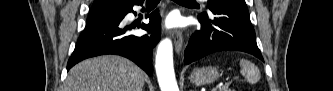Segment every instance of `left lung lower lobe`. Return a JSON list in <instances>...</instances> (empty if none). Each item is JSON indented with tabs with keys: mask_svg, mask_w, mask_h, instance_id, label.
<instances>
[{
	"mask_svg": "<svg viewBox=\"0 0 333 91\" xmlns=\"http://www.w3.org/2000/svg\"><path fill=\"white\" fill-rule=\"evenodd\" d=\"M212 12L198 17L201 25L184 50V63L190 64L217 51H243L263 60L245 0H222L209 6Z\"/></svg>",
	"mask_w": 333,
	"mask_h": 91,
	"instance_id": "left-lung-lower-lobe-1",
	"label": "left lung lower lobe"
}]
</instances>
